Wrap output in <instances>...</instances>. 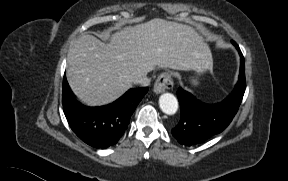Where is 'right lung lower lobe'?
<instances>
[{"label": "right lung lower lobe", "mask_w": 288, "mask_h": 181, "mask_svg": "<svg viewBox=\"0 0 288 181\" xmlns=\"http://www.w3.org/2000/svg\"><path fill=\"white\" fill-rule=\"evenodd\" d=\"M148 88L130 89L115 102L88 107L73 96L66 78L63 80V111L73 132L86 144L107 148L118 142L130 123V117L147 93Z\"/></svg>", "instance_id": "98d812e1"}]
</instances>
